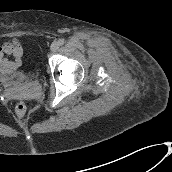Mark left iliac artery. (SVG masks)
Here are the masks:
<instances>
[{
  "instance_id": "left-iliac-artery-1",
  "label": "left iliac artery",
  "mask_w": 172,
  "mask_h": 172,
  "mask_svg": "<svg viewBox=\"0 0 172 172\" xmlns=\"http://www.w3.org/2000/svg\"><path fill=\"white\" fill-rule=\"evenodd\" d=\"M58 43H59V45H63L65 43V40L64 39H59Z\"/></svg>"
}]
</instances>
